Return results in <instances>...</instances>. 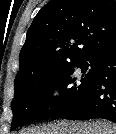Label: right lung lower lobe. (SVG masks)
<instances>
[{"mask_svg": "<svg viewBox=\"0 0 116 134\" xmlns=\"http://www.w3.org/2000/svg\"><path fill=\"white\" fill-rule=\"evenodd\" d=\"M95 74L78 101L54 118L89 120L103 118L116 123V45L94 57Z\"/></svg>", "mask_w": 116, "mask_h": 134, "instance_id": "1", "label": "right lung lower lobe"}]
</instances>
